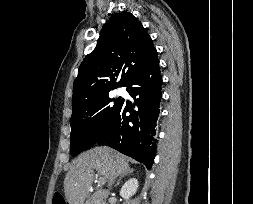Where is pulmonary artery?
I'll use <instances>...</instances> for the list:
<instances>
[{
    "mask_svg": "<svg viewBox=\"0 0 253 204\" xmlns=\"http://www.w3.org/2000/svg\"><path fill=\"white\" fill-rule=\"evenodd\" d=\"M121 93V91H117V94H120Z\"/></svg>",
    "mask_w": 253,
    "mask_h": 204,
    "instance_id": "pulmonary-artery-1",
    "label": "pulmonary artery"
}]
</instances>
